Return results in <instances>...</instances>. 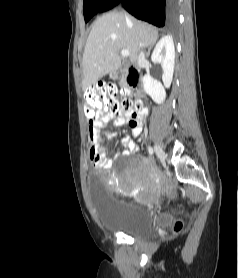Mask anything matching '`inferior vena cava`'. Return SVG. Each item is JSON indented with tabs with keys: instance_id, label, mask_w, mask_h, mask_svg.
Listing matches in <instances>:
<instances>
[{
	"instance_id": "inferior-vena-cava-1",
	"label": "inferior vena cava",
	"mask_w": 238,
	"mask_h": 278,
	"mask_svg": "<svg viewBox=\"0 0 238 278\" xmlns=\"http://www.w3.org/2000/svg\"><path fill=\"white\" fill-rule=\"evenodd\" d=\"M145 54L143 51L139 52L138 57H137V64L139 67H142L145 63Z\"/></svg>"
}]
</instances>
